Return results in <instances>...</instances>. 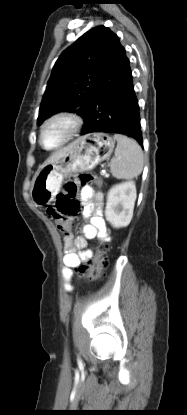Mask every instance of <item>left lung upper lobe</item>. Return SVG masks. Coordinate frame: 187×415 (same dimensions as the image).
I'll return each mask as SVG.
<instances>
[{"label": "left lung upper lobe", "mask_w": 187, "mask_h": 415, "mask_svg": "<svg viewBox=\"0 0 187 415\" xmlns=\"http://www.w3.org/2000/svg\"><path fill=\"white\" fill-rule=\"evenodd\" d=\"M117 39L109 28L98 26L63 51L48 81L37 125L61 111L77 113L84 120L96 113L92 95Z\"/></svg>", "instance_id": "left-lung-upper-lobe-1"}]
</instances>
